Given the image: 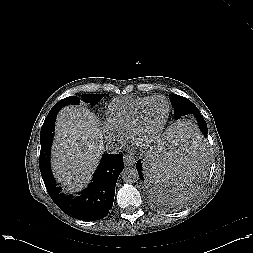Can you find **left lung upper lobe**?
<instances>
[{"instance_id": "left-lung-upper-lobe-1", "label": "left lung upper lobe", "mask_w": 253, "mask_h": 253, "mask_svg": "<svg viewBox=\"0 0 253 253\" xmlns=\"http://www.w3.org/2000/svg\"><path fill=\"white\" fill-rule=\"evenodd\" d=\"M170 101L174 108V114L177 119H180L182 116L194 115L197 118L200 130L204 137H207V124L206 122H201L202 115L200 114L198 108L187 98L182 97L177 94H170Z\"/></svg>"}]
</instances>
